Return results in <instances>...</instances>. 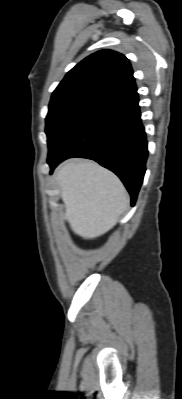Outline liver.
<instances>
[{"instance_id": "6515ba94", "label": "liver", "mask_w": 182, "mask_h": 399, "mask_svg": "<svg viewBox=\"0 0 182 399\" xmlns=\"http://www.w3.org/2000/svg\"><path fill=\"white\" fill-rule=\"evenodd\" d=\"M72 231L92 239L112 229L129 206V195L111 171L91 161H69L56 174Z\"/></svg>"}]
</instances>
